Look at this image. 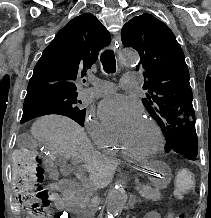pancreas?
I'll use <instances>...</instances> for the list:
<instances>
[{
    "label": "pancreas",
    "mask_w": 211,
    "mask_h": 218,
    "mask_svg": "<svg viewBox=\"0 0 211 218\" xmlns=\"http://www.w3.org/2000/svg\"><path fill=\"white\" fill-rule=\"evenodd\" d=\"M137 190H140L141 196L146 198V200H160V192L158 190H153L151 186H142L139 184ZM88 193L92 192L91 188L87 189ZM87 192H82V190H69L70 200H68V205H80L81 208H87L89 204V194Z\"/></svg>",
    "instance_id": "1"
}]
</instances>
